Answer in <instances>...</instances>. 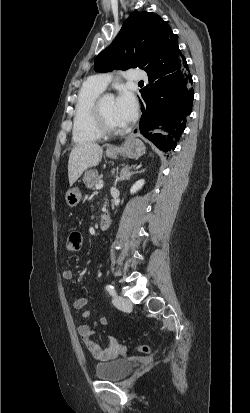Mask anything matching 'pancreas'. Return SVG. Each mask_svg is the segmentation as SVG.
Returning <instances> with one entry per match:
<instances>
[{
    "label": "pancreas",
    "instance_id": "1",
    "mask_svg": "<svg viewBox=\"0 0 250 413\" xmlns=\"http://www.w3.org/2000/svg\"><path fill=\"white\" fill-rule=\"evenodd\" d=\"M99 180L100 175L95 169L86 171L83 176V182L88 189H94L95 186L99 183Z\"/></svg>",
    "mask_w": 250,
    "mask_h": 413
}]
</instances>
